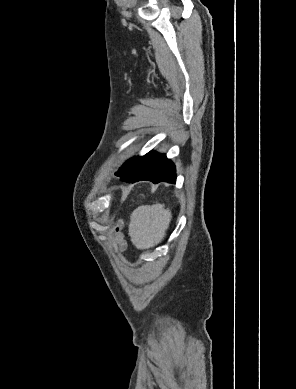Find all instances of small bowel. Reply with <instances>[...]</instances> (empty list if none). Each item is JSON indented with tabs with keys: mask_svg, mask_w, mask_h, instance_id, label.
I'll list each match as a JSON object with an SVG mask.
<instances>
[{
	"mask_svg": "<svg viewBox=\"0 0 296 389\" xmlns=\"http://www.w3.org/2000/svg\"><path fill=\"white\" fill-rule=\"evenodd\" d=\"M114 241L116 242V244H117V246H118L119 248L122 247L121 239H120L118 236H116V237L114 238Z\"/></svg>",
	"mask_w": 296,
	"mask_h": 389,
	"instance_id": "small-bowel-1",
	"label": "small bowel"
}]
</instances>
